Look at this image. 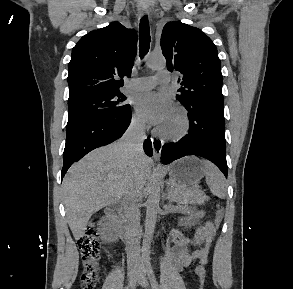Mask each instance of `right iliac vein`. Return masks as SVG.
I'll return each instance as SVG.
<instances>
[{
    "mask_svg": "<svg viewBox=\"0 0 293 289\" xmlns=\"http://www.w3.org/2000/svg\"><path fill=\"white\" fill-rule=\"evenodd\" d=\"M137 266L132 265L128 272V289H133L137 278Z\"/></svg>",
    "mask_w": 293,
    "mask_h": 289,
    "instance_id": "1",
    "label": "right iliac vein"
}]
</instances>
